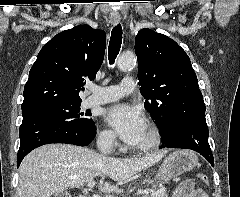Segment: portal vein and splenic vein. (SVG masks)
I'll list each match as a JSON object with an SVG mask.
<instances>
[{
	"label": "portal vein and splenic vein",
	"instance_id": "portal-vein-and-splenic-vein-1",
	"mask_svg": "<svg viewBox=\"0 0 240 197\" xmlns=\"http://www.w3.org/2000/svg\"><path fill=\"white\" fill-rule=\"evenodd\" d=\"M94 185H95V181H94V180L88 182V184H87L88 188H92ZM162 191H163V190H162ZM92 197H100V196H99V195H96V194H93Z\"/></svg>",
	"mask_w": 240,
	"mask_h": 197
}]
</instances>
